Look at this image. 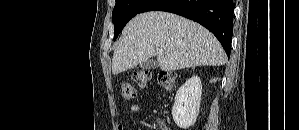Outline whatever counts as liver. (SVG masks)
<instances>
[{
    "label": "liver",
    "mask_w": 299,
    "mask_h": 130,
    "mask_svg": "<svg viewBox=\"0 0 299 130\" xmlns=\"http://www.w3.org/2000/svg\"><path fill=\"white\" fill-rule=\"evenodd\" d=\"M160 49L163 54L157 53ZM156 55L163 71L227 62L221 44L206 28L176 14L151 11L136 15L125 26L113 53L112 73L117 75Z\"/></svg>",
    "instance_id": "1"
}]
</instances>
